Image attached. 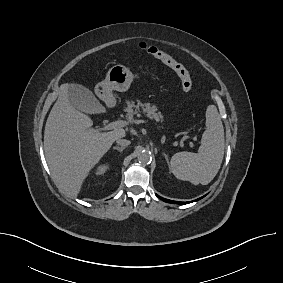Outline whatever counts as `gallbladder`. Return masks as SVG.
Instances as JSON below:
<instances>
[{"label": "gallbladder", "instance_id": "obj_1", "mask_svg": "<svg viewBox=\"0 0 283 283\" xmlns=\"http://www.w3.org/2000/svg\"><path fill=\"white\" fill-rule=\"evenodd\" d=\"M68 97L71 105L82 112H96L103 110L91 91L79 84L68 87Z\"/></svg>", "mask_w": 283, "mask_h": 283}]
</instances>
